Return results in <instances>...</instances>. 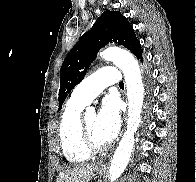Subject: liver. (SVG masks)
<instances>
[{
	"label": "liver",
	"mask_w": 196,
	"mask_h": 182,
	"mask_svg": "<svg viewBox=\"0 0 196 182\" xmlns=\"http://www.w3.org/2000/svg\"><path fill=\"white\" fill-rule=\"evenodd\" d=\"M94 170V163L68 168L59 174L56 182H89Z\"/></svg>",
	"instance_id": "obj_1"
}]
</instances>
